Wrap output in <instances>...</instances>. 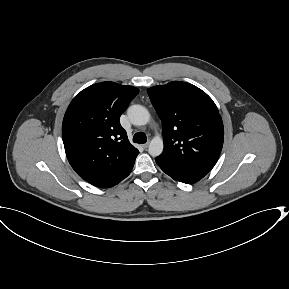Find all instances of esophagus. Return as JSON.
Wrapping results in <instances>:
<instances>
[{"label": "esophagus", "mask_w": 289, "mask_h": 289, "mask_svg": "<svg viewBox=\"0 0 289 289\" xmlns=\"http://www.w3.org/2000/svg\"><path fill=\"white\" fill-rule=\"evenodd\" d=\"M142 146H143L144 149H147L148 146H149V143H145V144H143Z\"/></svg>", "instance_id": "34e87169"}]
</instances>
